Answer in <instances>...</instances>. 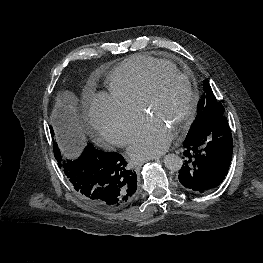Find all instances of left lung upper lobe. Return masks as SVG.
Listing matches in <instances>:
<instances>
[{"instance_id": "left-lung-upper-lobe-1", "label": "left lung upper lobe", "mask_w": 263, "mask_h": 263, "mask_svg": "<svg viewBox=\"0 0 263 263\" xmlns=\"http://www.w3.org/2000/svg\"><path fill=\"white\" fill-rule=\"evenodd\" d=\"M204 93L197 106V116L187 135H195L213 118L225 115L224 107L217 101L208 81L203 82Z\"/></svg>"}]
</instances>
